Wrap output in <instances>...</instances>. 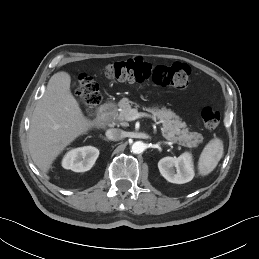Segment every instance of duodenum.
I'll list each match as a JSON object with an SVG mask.
<instances>
[{"label":"duodenum","mask_w":259,"mask_h":259,"mask_svg":"<svg viewBox=\"0 0 259 259\" xmlns=\"http://www.w3.org/2000/svg\"><path fill=\"white\" fill-rule=\"evenodd\" d=\"M113 111H114V105L104 104L100 109V113L98 116L99 121L101 123H107L109 119L112 117Z\"/></svg>","instance_id":"obj_1"}]
</instances>
